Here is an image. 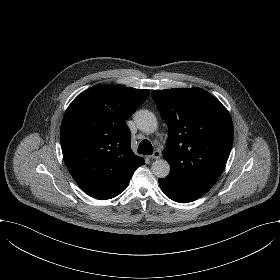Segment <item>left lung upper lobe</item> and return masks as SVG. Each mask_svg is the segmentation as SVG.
Instances as JSON below:
<instances>
[{"instance_id":"1","label":"left lung upper lobe","mask_w":280,"mask_h":280,"mask_svg":"<svg viewBox=\"0 0 280 280\" xmlns=\"http://www.w3.org/2000/svg\"><path fill=\"white\" fill-rule=\"evenodd\" d=\"M169 130L163 156L171 171L166 179L178 187H212L223 172L233 144L227 109L200 88L152 92Z\"/></svg>"}]
</instances>
